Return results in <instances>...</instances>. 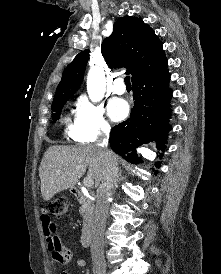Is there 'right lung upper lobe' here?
Listing matches in <instances>:
<instances>
[{"instance_id":"1","label":"right lung upper lobe","mask_w":221,"mask_h":274,"mask_svg":"<svg viewBox=\"0 0 221 274\" xmlns=\"http://www.w3.org/2000/svg\"><path fill=\"white\" fill-rule=\"evenodd\" d=\"M105 61L112 67L128 68L132 80L145 75L166 58L163 46L152 28L136 17H122L112 34L101 45ZM88 59V50L79 53L63 72L55 97L73 95L80 87Z\"/></svg>"}]
</instances>
